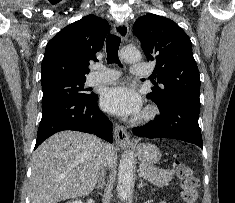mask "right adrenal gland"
<instances>
[{"mask_svg":"<svg viewBox=\"0 0 235 203\" xmlns=\"http://www.w3.org/2000/svg\"><path fill=\"white\" fill-rule=\"evenodd\" d=\"M105 184L104 177L101 178V182L95 187V189L100 190L103 189Z\"/></svg>","mask_w":235,"mask_h":203,"instance_id":"1","label":"right adrenal gland"}]
</instances>
